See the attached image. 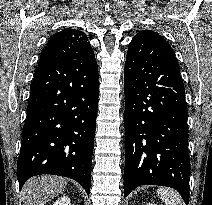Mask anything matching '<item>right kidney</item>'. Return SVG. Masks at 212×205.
<instances>
[{"mask_svg": "<svg viewBox=\"0 0 212 205\" xmlns=\"http://www.w3.org/2000/svg\"><path fill=\"white\" fill-rule=\"evenodd\" d=\"M52 205H71V201L69 197L63 196L56 200V202Z\"/></svg>", "mask_w": 212, "mask_h": 205, "instance_id": "obj_1", "label": "right kidney"}]
</instances>
